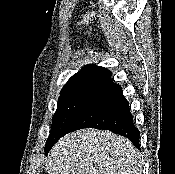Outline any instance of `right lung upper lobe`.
I'll list each match as a JSON object with an SVG mask.
<instances>
[{
    "mask_svg": "<svg viewBox=\"0 0 175 174\" xmlns=\"http://www.w3.org/2000/svg\"><path fill=\"white\" fill-rule=\"evenodd\" d=\"M111 78V72L101 66L90 64L74 74L64 85L61 95L90 93L100 84Z\"/></svg>",
    "mask_w": 175,
    "mask_h": 174,
    "instance_id": "right-lung-upper-lobe-1",
    "label": "right lung upper lobe"
}]
</instances>
